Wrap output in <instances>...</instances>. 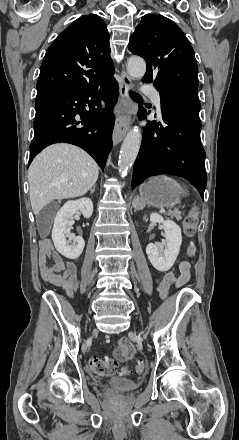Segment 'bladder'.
<instances>
[{"label": "bladder", "mask_w": 239, "mask_h": 440, "mask_svg": "<svg viewBox=\"0 0 239 440\" xmlns=\"http://www.w3.org/2000/svg\"><path fill=\"white\" fill-rule=\"evenodd\" d=\"M111 384L124 391H132L138 387V383L135 380L128 378L112 380Z\"/></svg>", "instance_id": "obj_1"}]
</instances>
